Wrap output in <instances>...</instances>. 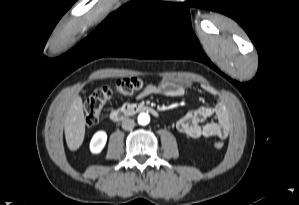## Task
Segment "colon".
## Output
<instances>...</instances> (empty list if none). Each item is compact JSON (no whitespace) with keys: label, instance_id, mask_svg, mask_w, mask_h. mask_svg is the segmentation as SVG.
<instances>
[{"label":"colon","instance_id":"5ec220e1","mask_svg":"<svg viewBox=\"0 0 299 205\" xmlns=\"http://www.w3.org/2000/svg\"><path fill=\"white\" fill-rule=\"evenodd\" d=\"M148 85L144 80L137 77L119 79L114 87H100L94 90L85 102V123L88 127L95 126L99 122L103 107L116 96H130L143 90ZM216 149H222L224 143L216 141Z\"/></svg>","mask_w":299,"mask_h":205}]
</instances>
